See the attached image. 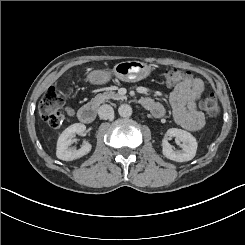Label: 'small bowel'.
Instances as JSON below:
<instances>
[{
    "instance_id": "obj_1",
    "label": "small bowel",
    "mask_w": 245,
    "mask_h": 245,
    "mask_svg": "<svg viewBox=\"0 0 245 245\" xmlns=\"http://www.w3.org/2000/svg\"><path fill=\"white\" fill-rule=\"evenodd\" d=\"M203 92L204 84L202 80L188 76L184 81L175 85L170 95L169 100L174 120L188 131L197 132L205 125L204 114L197 108V102ZM142 104L156 117H161L165 114V107L150 97H144ZM66 111L70 116L75 114V110L70 107Z\"/></svg>"
}]
</instances>
